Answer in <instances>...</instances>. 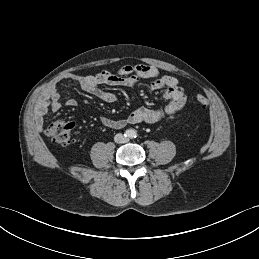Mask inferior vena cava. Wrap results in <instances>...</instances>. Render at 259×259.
I'll return each mask as SVG.
<instances>
[{"label": "inferior vena cava", "instance_id": "obj_1", "mask_svg": "<svg viewBox=\"0 0 259 259\" xmlns=\"http://www.w3.org/2000/svg\"><path fill=\"white\" fill-rule=\"evenodd\" d=\"M116 143H126L128 141V138L124 137L122 134H116L114 138Z\"/></svg>", "mask_w": 259, "mask_h": 259}]
</instances>
